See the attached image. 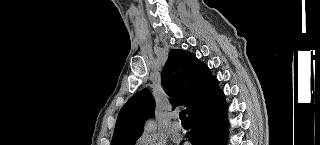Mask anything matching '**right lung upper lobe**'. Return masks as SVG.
Segmentation results:
<instances>
[{
  "instance_id": "1",
  "label": "right lung upper lobe",
  "mask_w": 320,
  "mask_h": 145,
  "mask_svg": "<svg viewBox=\"0 0 320 145\" xmlns=\"http://www.w3.org/2000/svg\"><path fill=\"white\" fill-rule=\"evenodd\" d=\"M215 77L194 54L173 49L161 74L165 92L171 97L173 109L184 105L189 115L207 99ZM155 101L149 90L143 89L132 96L119 112L112 145H131L143 132V124L154 114Z\"/></svg>"
}]
</instances>
